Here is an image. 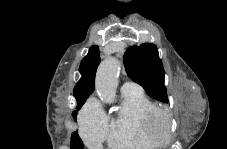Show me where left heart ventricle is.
Returning <instances> with one entry per match:
<instances>
[{
    "label": "left heart ventricle",
    "mask_w": 227,
    "mask_h": 149,
    "mask_svg": "<svg viewBox=\"0 0 227 149\" xmlns=\"http://www.w3.org/2000/svg\"><path fill=\"white\" fill-rule=\"evenodd\" d=\"M159 124L161 125V124H162V122L160 121V122H159Z\"/></svg>",
    "instance_id": "left-heart-ventricle-1"
}]
</instances>
